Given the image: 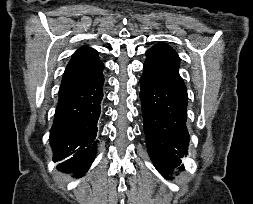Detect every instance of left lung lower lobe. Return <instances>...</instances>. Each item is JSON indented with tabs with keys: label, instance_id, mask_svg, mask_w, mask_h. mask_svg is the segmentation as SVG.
Instances as JSON below:
<instances>
[{
	"label": "left lung lower lobe",
	"instance_id": "left-lung-lower-lobe-1",
	"mask_svg": "<svg viewBox=\"0 0 253 204\" xmlns=\"http://www.w3.org/2000/svg\"><path fill=\"white\" fill-rule=\"evenodd\" d=\"M140 79L147 148L160 172L170 171L187 155V89L178 73L179 56L165 44L146 51Z\"/></svg>",
	"mask_w": 253,
	"mask_h": 204
}]
</instances>
